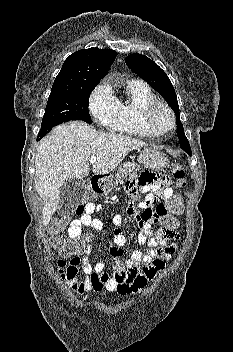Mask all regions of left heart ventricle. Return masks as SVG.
Returning a JSON list of instances; mask_svg holds the SVG:
<instances>
[{
  "label": "left heart ventricle",
  "mask_w": 233,
  "mask_h": 352,
  "mask_svg": "<svg viewBox=\"0 0 233 352\" xmlns=\"http://www.w3.org/2000/svg\"><path fill=\"white\" fill-rule=\"evenodd\" d=\"M154 123L157 129L167 127L170 123L168 114L163 109H158L154 115Z\"/></svg>",
  "instance_id": "obj_1"
}]
</instances>
